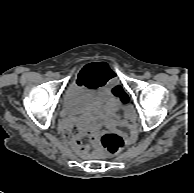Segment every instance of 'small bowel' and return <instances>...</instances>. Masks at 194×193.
I'll list each match as a JSON object with an SVG mask.
<instances>
[{
    "label": "small bowel",
    "mask_w": 194,
    "mask_h": 193,
    "mask_svg": "<svg viewBox=\"0 0 194 193\" xmlns=\"http://www.w3.org/2000/svg\"><path fill=\"white\" fill-rule=\"evenodd\" d=\"M112 72H113V68L107 63H96V64L87 65L81 70V72L79 74L78 84L86 85V83H87L86 77L89 73H94V74L105 73L106 74V73H112ZM89 86H90V92L88 94V103L84 106H80V104L82 103L81 102V103H79L78 106L71 107L66 112L65 120H64V131L66 133H68L69 130L71 129L73 122H74V120H73L74 115L78 111L91 113L94 115V117L96 119L105 118V119H108L109 122L113 121L112 111L114 109L115 103L113 101H109L103 108L104 112L100 113L98 111V102H97V100H98L97 89L99 88L100 85L97 82H92V83H89ZM123 112L127 116L132 114V110L128 107L123 108ZM83 134H84V132H83V130H81L78 134H76L71 139V143L79 149L82 148L81 137Z\"/></svg>",
    "instance_id": "small-bowel-1"
}]
</instances>
